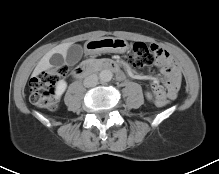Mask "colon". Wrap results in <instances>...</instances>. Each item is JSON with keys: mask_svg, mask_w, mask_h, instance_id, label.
Segmentation results:
<instances>
[{"mask_svg": "<svg viewBox=\"0 0 219 174\" xmlns=\"http://www.w3.org/2000/svg\"><path fill=\"white\" fill-rule=\"evenodd\" d=\"M127 61L136 68L150 66L155 62V54L146 44L136 42L132 45L127 55ZM68 74L66 66L47 69L31 78L29 82L30 101L39 108L54 110L57 108V101L54 96V86L58 81ZM155 104L158 107H165L168 100L162 97H155Z\"/></svg>", "mask_w": 219, "mask_h": 174, "instance_id": "5ec220e1", "label": "colon"}]
</instances>
